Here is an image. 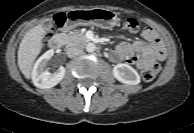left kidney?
Masks as SVG:
<instances>
[{
    "instance_id": "5707ae66",
    "label": "left kidney",
    "mask_w": 194,
    "mask_h": 133,
    "mask_svg": "<svg viewBox=\"0 0 194 133\" xmlns=\"http://www.w3.org/2000/svg\"><path fill=\"white\" fill-rule=\"evenodd\" d=\"M113 75L119 82L127 85H137L140 83L139 74L128 64L120 63L115 65Z\"/></svg>"
}]
</instances>
